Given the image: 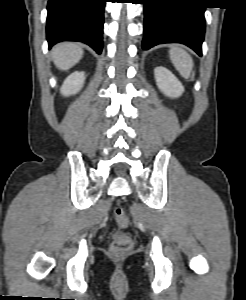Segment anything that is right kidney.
Here are the masks:
<instances>
[{"instance_id": "1", "label": "right kidney", "mask_w": 246, "mask_h": 300, "mask_svg": "<svg viewBox=\"0 0 246 300\" xmlns=\"http://www.w3.org/2000/svg\"><path fill=\"white\" fill-rule=\"evenodd\" d=\"M85 81L84 72H73L63 82L60 92L63 96H70L78 93Z\"/></svg>"}]
</instances>
